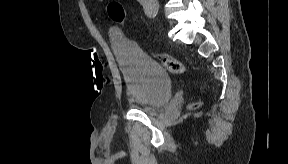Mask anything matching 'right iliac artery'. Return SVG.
Masks as SVG:
<instances>
[{
    "label": "right iliac artery",
    "mask_w": 288,
    "mask_h": 164,
    "mask_svg": "<svg viewBox=\"0 0 288 164\" xmlns=\"http://www.w3.org/2000/svg\"><path fill=\"white\" fill-rule=\"evenodd\" d=\"M147 15H148L150 18H154V17L156 16V13L153 12V11L148 10Z\"/></svg>",
    "instance_id": "1"
}]
</instances>
